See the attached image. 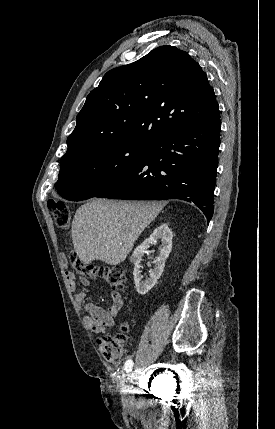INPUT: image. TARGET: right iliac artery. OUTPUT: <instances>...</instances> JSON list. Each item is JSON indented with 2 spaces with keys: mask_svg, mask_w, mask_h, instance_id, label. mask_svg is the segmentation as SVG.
Instances as JSON below:
<instances>
[{
  "mask_svg": "<svg viewBox=\"0 0 275 429\" xmlns=\"http://www.w3.org/2000/svg\"><path fill=\"white\" fill-rule=\"evenodd\" d=\"M132 366H133V361L128 360V361H126V363L124 365V369L126 370V372H129L132 370Z\"/></svg>",
  "mask_w": 275,
  "mask_h": 429,
  "instance_id": "right-iliac-artery-1",
  "label": "right iliac artery"
}]
</instances>
